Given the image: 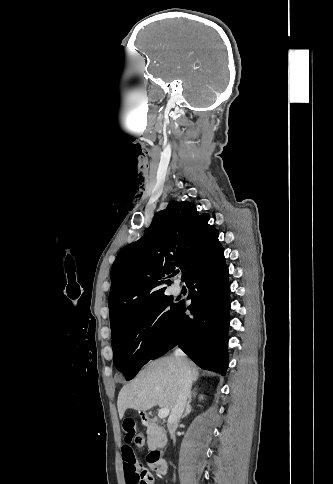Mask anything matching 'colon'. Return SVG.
Returning <instances> with one entry per match:
<instances>
[{"instance_id":"1","label":"colon","mask_w":333,"mask_h":484,"mask_svg":"<svg viewBox=\"0 0 333 484\" xmlns=\"http://www.w3.org/2000/svg\"><path fill=\"white\" fill-rule=\"evenodd\" d=\"M133 442L136 446L141 447L145 443V437L142 433H137L133 439Z\"/></svg>"}]
</instances>
